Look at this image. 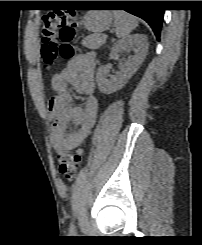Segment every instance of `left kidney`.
I'll return each mask as SVG.
<instances>
[{"label": "left kidney", "instance_id": "1", "mask_svg": "<svg viewBox=\"0 0 202 245\" xmlns=\"http://www.w3.org/2000/svg\"><path fill=\"white\" fill-rule=\"evenodd\" d=\"M129 49L134 52L130 55L121 67L118 75H109V70L105 66L98 69L96 81L99 90L104 94H111L120 90L127 81L136 73L144 61L148 51V39L143 34H134L122 40L117 41L112 49V55H118L123 50ZM110 77V79H108Z\"/></svg>", "mask_w": 202, "mask_h": 245}]
</instances>
